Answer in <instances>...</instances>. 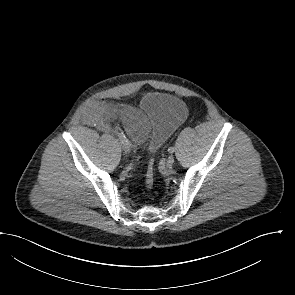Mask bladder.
I'll return each mask as SVG.
<instances>
[{
	"label": "bladder",
	"instance_id": "bladder-1",
	"mask_svg": "<svg viewBox=\"0 0 295 295\" xmlns=\"http://www.w3.org/2000/svg\"><path fill=\"white\" fill-rule=\"evenodd\" d=\"M146 121L152 125L147 143L149 152H156L169 134L187 117V106L177 96L168 93H149L142 99L139 109Z\"/></svg>",
	"mask_w": 295,
	"mask_h": 295
}]
</instances>
